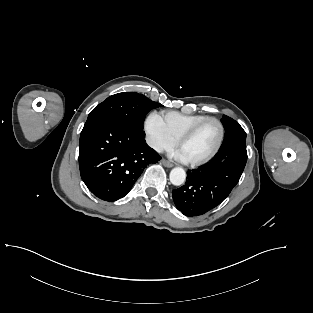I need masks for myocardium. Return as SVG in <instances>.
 Returning a JSON list of instances; mask_svg holds the SVG:
<instances>
[{
    "label": "myocardium",
    "instance_id": "f54148a6",
    "mask_svg": "<svg viewBox=\"0 0 313 313\" xmlns=\"http://www.w3.org/2000/svg\"><path fill=\"white\" fill-rule=\"evenodd\" d=\"M213 121L215 123H217L218 127H219V138L218 141L216 143V146L214 147V149L212 150V152L210 154H208L206 157L199 159V160H195V161H187L189 165L197 167V166H201L204 165L206 163H208L209 161H211L219 152L222 144H223V140H224V135H225V129H224V125L222 123V121L216 117H207L204 120L196 123L195 125H193L192 127H190L187 131H185L177 140V147H180L184 142H186L187 140H189L203 125H205L206 123Z\"/></svg>",
    "mask_w": 313,
    "mask_h": 313
}]
</instances>
